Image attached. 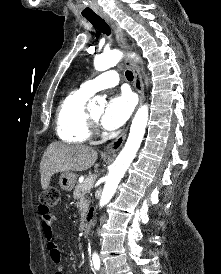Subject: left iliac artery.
Here are the masks:
<instances>
[{
	"mask_svg": "<svg viewBox=\"0 0 221 274\" xmlns=\"http://www.w3.org/2000/svg\"><path fill=\"white\" fill-rule=\"evenodd\" d=\"M93 265L96 270H99L100 268V259L99 256L94 254L92 257Z\"/></svg>",
	"mask_w": 221,
	"mask_h": 274,
	"instance_id": "1",
	"label": "left iliac artery"
}]
</instances>
